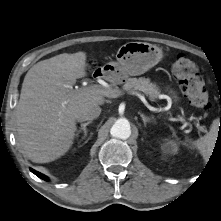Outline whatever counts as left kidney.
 <instances>
[{
  "label": "left kidney",
  "mask_w": 221,
  "mask_h": 221,
  "mask_svg": "<svg viewBox=\"0 0 221 221\" xmlns=\"http://www.w3.org/2000/svg\"><path fill=\"white\" fill-rule=\"evenodd\" d=\"M161 149L165 154H176L178 151V146L173 140H166L162 144Z\"/></svg>",
  "instance_id": "5707ae66"
}]
</instances>
